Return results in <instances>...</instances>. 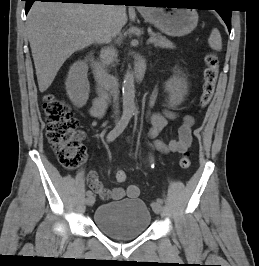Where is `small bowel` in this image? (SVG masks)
<instances>
[{"label":"small bowel","instance_id":"c3829d8e","mask_svg":"<svg viewBox=\"0 0 259 266\" xmlns=\"http://www.w3.org/2000/svg\"><path fill=\"white\" fill-rule=\"evenodd\" d=\"M107 109V97L101 94L96 98L91 107V115L96 118H101ZM180 116L177 111L164 109L162 111H149L147 113V121L151 125L149 137L155 138L160 131L165 127L169 120H175ZM194 118L191 115L183 117V123L178 129V137L172 139L168 143L159 140H154V146L164 153H179L184 154L188 151L192 143V126ZM87 183L91 190L97 193L103 200H120L124 196L129 198H137L139 195V188L135 185H130L126 189L117 187L113 189H106L102 186L98 179L97 173L91 171L87 177Z\"/></svg>","mask_w":259,"mask_h":266}]
</instances>
